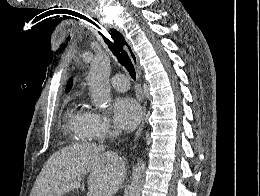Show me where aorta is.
Masks as SVG:
<instances>
[{
  "label": "aorta",
  "mask_w": 260,
  "mask_h": 196,
  "mask_svg": "<svg viewBox=\"0 0 260 196\" xmlns=\"http://www.w3.org/2000/svg\"><path fill=\"white\" fill-rule=\"evenodd\" d=\"M111 72L110 58L104 51H99L91 62L88 84L91 98L96 107L106 109L111 103V87L109 82ZM144 163L138 162L133 167L132 179L127 196H140L144 179Z\"/></svg>",
  "instance_id": "1"
}]
</instances>
